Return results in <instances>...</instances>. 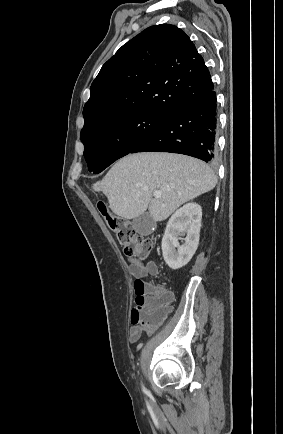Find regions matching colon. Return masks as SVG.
I'll use <instances>...</instances> for the list:
<instances>
[{"label":"colon","instance_id":"5ec220e1","mask_svg":"<svg viewBox=\"0 0 283 434\" xmlns=\"http://www.w3.org/2000/svg\"><path fill=\"white\" fill-rule=\"evenodd\" d=\"M98 209L127 256L143 260L149 255L153 246L149 237L138 234L126 219L112 214L104 203L100 202ZM135 292L136 305L131 311V324L151 333L167 316L171 295L141 279L135 282Z\"/></svg>","mask_w":283,"mask_h":434}]
</instances>
